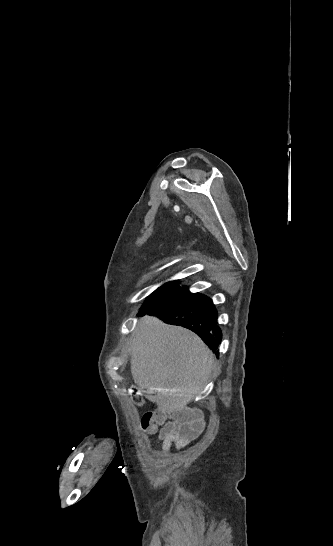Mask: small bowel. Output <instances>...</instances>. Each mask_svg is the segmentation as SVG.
I'll list each match as a JSON object with an SVG mask.
<instances>
[{
  "label": "small bowel",
  "mask_w": 333,
  "mask_h": 546,
  "mask_svg": "<svg viewBox=\"0 0 333 546\" xmlns=\"http://www.w3.org/2000/svg\"><path fill=\"white\" fill-rule=\"evenodd\" d=\"M156 423H161L159 439L162 442L161 452H168L172 445L182 448L197 438L204 429V421L194 417H176L171 421L154 415Z\"/></svg>",
  "instance_id": "small-bowel-1"
}]
</instances>
